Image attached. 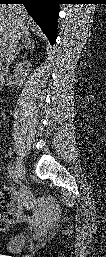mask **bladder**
<instances>
[{"label": "bladder", "mask_w": 106, "mask_h": 257, "mask_svg": "<svg viewBox=\"0 0 106 257\" xmlns=\"http://www.w3.org/2000/svg\"><path fill=\"white\" fill-rule=\"evenodd\" d=\"M25 243L26 238L23 234H15L6 240L4 249L9 253H18L24 248Z\"/></svg>", "instance_id": "31cf9c89"}]
</instances>
